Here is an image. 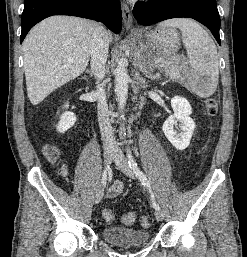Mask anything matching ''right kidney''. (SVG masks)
<instances>
[{
  "label": "right kidney",
  "instance_id": "1",
  "mask_svg": "<svg viewBox=\"0 0 247 257\" xmlns=\"http://www.w3.org/2000/svg\"><path fill=\"white\" fill-rule=\"evenodd\" d=\"M68 107V104L65 105ZM76 122V116L72 112H64L61 117L60 121L57 125V131L60 133H65L68 129H70Z\"/></svg>",
  "mask_w": 247,
  "mask_h": 257
}]
</instances>
